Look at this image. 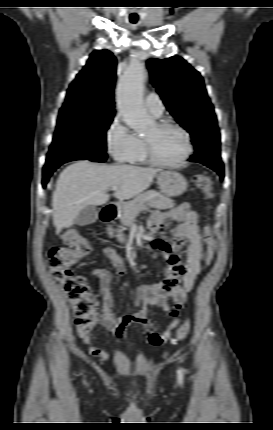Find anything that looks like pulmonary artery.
Listing matches in <instances>:
<instances>
[{
	"instance_id": "pulmonary-artery-1",
	"label": "pulmonary artery",
	"mask_w": 273,
	"mask_h": 430,
	"mask_svg": "<svg viewBox=\"0 0 273 430\" xmlns=\"http://www.w3.org/2000/svg\"><path fill=\"white\" fill-rule=\"evenodd\" d=\"M145 105L148 111L154 115L155 117H159L162 115L164 111V105L160 97L152 92L149 93L145 100Z\"/></svg>"
}]
</instances>
